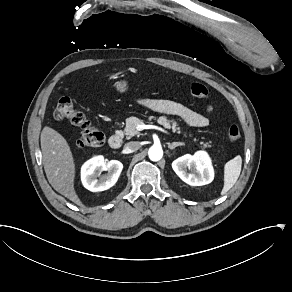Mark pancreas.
<instances>
[{
    "label": "pancreas",
    "instance_id": "pancreas-1",
    "mask_svg": "<svg viewBox=\"0 0 292 292\" xmlns=\"http://www.w3.org/2000/svg\"><path fill=\"white\" fill-rule=\"evenodd\" d=\"M155 119L159 124L163 125L164 127L168 128V129H172L173 132H176L178 134H182L184 135V137H192L193 133L192 132H182L181 127L179 126V122L176 121L175 118L170 117L168 118L166 115H160V116H152L149 117L148 120L152 121V119ZM145 120L139 119L138 117L135 116H131L126 120V128H125V134L128 138H130L131 136L134 135H139V131L136 129L137 124H144ZM201 139H205L204 136L201 137ZM199 141V137L195 136L193 138V142L197 143ZM212 141H208V142H203L200 141L199 144L203 146V148H211Z\"/></svg>",
    "mask_w": 292,
    "mask_h": 292
}]
</instances>
